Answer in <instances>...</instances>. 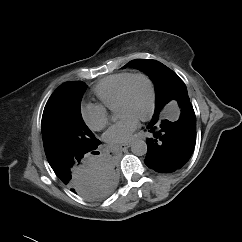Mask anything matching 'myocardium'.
Instances as JSON below:
<instances>
[{"label":"myocardium","mask_w":242,"mask_h":242,"mask_svg":"<svg viewBox=\"0 0 242 242\" xmlns=\"http://www.w3.org/2000/svg\"><path fill=\"white\" fill-rule=\"evenodd\" d=\"M137 78L144 79L147 82L148 87H149V94H150L149 106H148L147 111L142 116L139 117V119L141 121H147L153 116L154 111H155L156 88H155V84H154L152 78L149 75H147L146 73H133L127 79V81L125 82V84L123 85V87L121 89L116 107L123 104L127 100L131 83L133 82V80H135Z\"/></svg>","instance_id":"1"}]
</instances>
